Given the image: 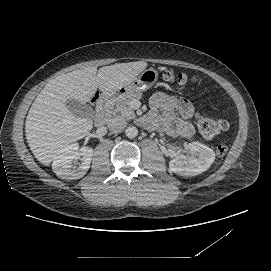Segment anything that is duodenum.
Instances as JSON below:
<instances>
[{
	"label": "duodenum",
	"instance_id": "1",
	"mask_svg": "<svg viewBox=\"0 0 271 271\" xmlns=\"http://www.w3.org/2000/svg\"><path fill=\"white\" fill-rule=\"evenodd\" d=\"M113 100L114 95L111 93H105L99 96L96 104L97 124H103L110 118Z\"/></svg>",
	"mask_w": 271,
	"mask_h": 271
}]
</instances>
